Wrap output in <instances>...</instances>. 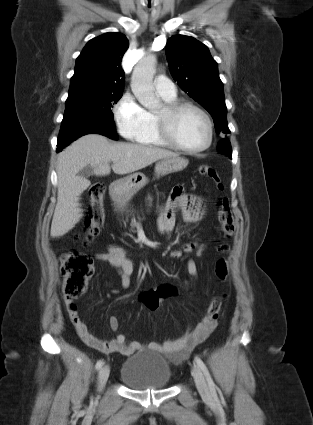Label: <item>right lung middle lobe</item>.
Segmentation results:
<instances>
[{"label":"right lung middle lobe","mask_w":313,"mask_h":425,"mask_svg":"<svg viewBox=\"0 0 313 425\" xmlns=\"http://www.w3.org/2000/svg\"><path fill=\"white\" fill-rule=\"evenodd\" d=\"M123 92H86L70 94L66 100L64 115L71 111L100 114L113 119L111 108L122 97Z\"/></svg>","instance_id":"right-lung-middle-lobe-1"}]
</instances>
